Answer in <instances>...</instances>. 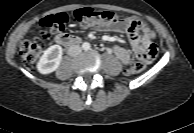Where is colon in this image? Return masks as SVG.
Masks as SVG:
<instances>
[{"instance_id": "obj_1", "label": "colon", "mask_w": 194, "mask_h": 133, "mask_svg": "<svg viewBox=\"0 0 194 133\" xmlns=\"http://www.w3.org/2000/svg\"><path fill=\"white\" fill-rule=\"evenodd\" d=\"M119 20V16L111 11L82 7L72 14L59 13L47 16L42 19L41 26L51 33H56L62 31L70 21L80 28H87L90 26H108ZM47 30L42 31L39 36L22 43L20 55L26 67H33L42 55L49 38ZM155 55V53L141 54L139 61L132 67L125 69L124 74L130 76L142 72L153 61Z\"/></svg>"}]
</instances>
